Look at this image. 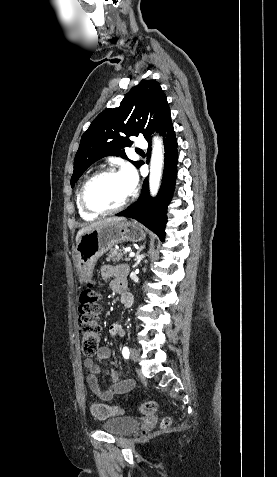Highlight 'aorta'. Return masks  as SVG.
Masks as SVG:
<instances>
[{
  "label": "aorta",
  "instance_id": "obj_1",
  "mask_svg": "<svg viewBox=\"0 0 277 477\" xmlns=\"http://www.w3.org/2000/svg\"><path fill=\"white\" fill-rule=\"evenodd\" d=\"M164 162V153L162 142L159 137H154L153 148L150 162V193L155 196L159 190Z\"/></svg>",
  "mask_w": 277,
  "mask_h": 477
}]
</instances>
